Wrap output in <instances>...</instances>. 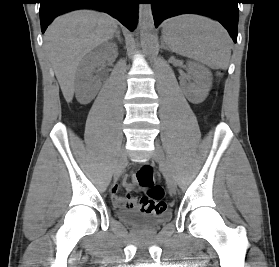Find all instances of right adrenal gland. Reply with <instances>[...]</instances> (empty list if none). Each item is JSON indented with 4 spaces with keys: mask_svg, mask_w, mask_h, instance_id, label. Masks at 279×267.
<instances>
[{
    "mask_svg": "<svg viewBox=\"0 0 279 267\" xmlns=\"http://www.w3.org/2000/svg\"><path fill=\"white\" fill-rule=\"evenodd\" d=\"M114 37H116L120 43L122 42V39L120 37V30L119 29L116 30Z\"/></svg>",
    "mask_w": 279,
    "mask_h": 267,
    "instance_id": "1",
    "label": "right adrenal gland"
}]
</instances>
